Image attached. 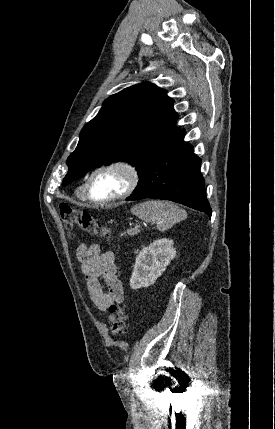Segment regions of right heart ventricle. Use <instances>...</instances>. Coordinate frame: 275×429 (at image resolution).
<instances>
[{"mask_svg": "<svg viewBox=\"0 0 275 429\" xmlns=\"http://www.w3.org/2000/svg\"><path fill=\"white\" fill-rule=\"evenodd\" d=\"M84 187H85V183H84V184H82V185H80V186L78 187V189H77V195H78V197H79V198H81V199H84V198H85V196H84Z\"/></svg>", "mask_w": 275, "mask_h": 429, "instance_id": "1", "label": "right heart ventricle"}]
</instances>
